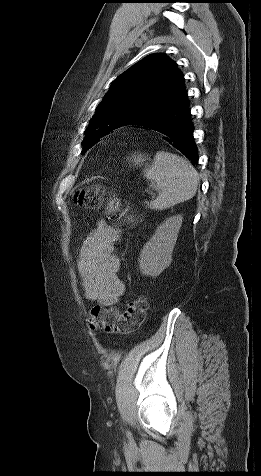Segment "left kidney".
<instances>
[{
    "instance_id": "left-kidney-1",
    "label": "left kidney",
    "mask_w": 261,
    "mask_h": 476,
    "mask_svg": "<svg viewBox=\"0 0 261 476\" xmlns=\"http://www.w3.org/2000/svg\"><path fill=\"white\" fill-rule=\"evenodd\" d=\"M182 219V215L167 218L144 245L139 259L142 274L156 277L171 264Z\"/></svg>"
}]
</instances>
